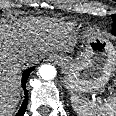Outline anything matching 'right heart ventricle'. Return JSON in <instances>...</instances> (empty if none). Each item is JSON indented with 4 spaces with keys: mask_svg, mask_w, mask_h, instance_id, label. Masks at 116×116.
Returning a JSON list of instances; mask_svg holds the SVG:
<instances>
[{
    "mask_svg": "<svg viewBox=\"0 0 116 116\" xmlns=\"http://www.w3.org/2000/svg\"><path fill=\"white\" fill-rule=\"evenodd\" d=\"M74 27V24L71 23V22H67V23H62L57 31H56V34L59 35V34H63V33H67L69 31H71Z\"/></svg>",
    "mask_w": 116,
    "mask_h": 116,
    "instance_id": "obj_1",
    "label": "right heart ventricle"
}]
</instances>
